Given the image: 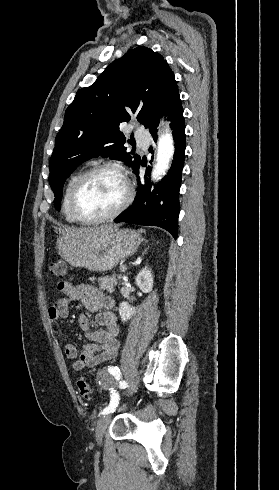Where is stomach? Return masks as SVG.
<instances>
[{
  "label": "stomach",
  "mask_w": 279,
  "mask_h": 490,
  "mask_svg": "<svg viewBox=\"0 0 279 490\" xmlns=\"http://www.w3.org/2000/svg\"><path fill=\"white\" fill-rule=\"evenodd\" d=\"M143 238L134 230H109L107 234H92L72 240L58 238L56 250L72 268H86L89 272H109L123 258L137 252Z\"/></svg>",
  "instance_id": "obj_1"
}]
</instances>
